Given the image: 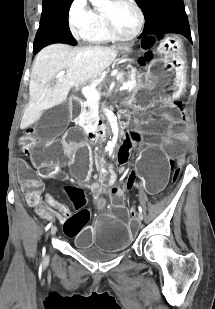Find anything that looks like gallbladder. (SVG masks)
Instances as JSON below:
<instances>
[{"mask_svg":"<svg viewBox=\"0 0 215 309\" xmlns=\"http://www.w3.org/2000/svg\"><path fill=\"white\" fill-rule=\"evenodd\" d=\"M52 108L42 113L41 121L34 126L36 136H42L44 140H52L53 136H61L65 130L64 125L69 121L68 100L64 103H54Z\"/></svg>","mask_w":215,"mask_h":309,"instance_id":"obj_1","label":"gallbladder"}]
</instances>
